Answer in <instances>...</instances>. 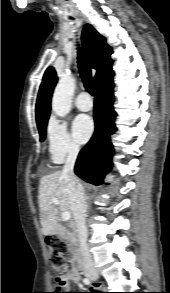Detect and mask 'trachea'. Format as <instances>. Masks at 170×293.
<instances>
[{"instance_id": "trachea-1", "label": "trachea", "mask_w": 170, "mask_h": 293, "mask_svg": "<svg viewBox=\"0 0 170 293\" xmlns=\"http://www.w3.org/2000/svg\"><path fill=\"white\" fill-rule=\"evenodd\" d=\"M78 67L86 91L94 95V82L92 80L91 69L81 51L78 53Z\"/></svg>"}]
</instances>
